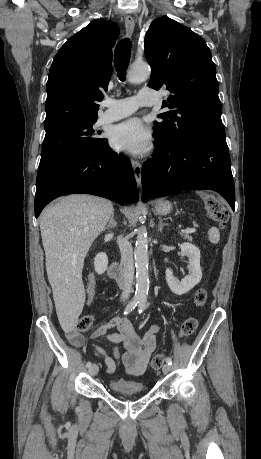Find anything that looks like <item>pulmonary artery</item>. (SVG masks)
Listing matches in <instances>:
<instances>
[{"label":"pulmonary artery","instance_id":"pulmonary-artery-1","mask_svg":"<svg viewBox=\"0 0 261 459\" xmlns=\"http://www.w3.org/2000/svg\"><path fill=\"white\" fill-rule=\"evenodd\" d=\"M155 103V93L150 88H142L136 96L123 99H107L103 102L105 112L100 117L101 123H111L133 114L140 106Z\"/></svg>","mask_w":261,"mask_h":459}]
</instances>
